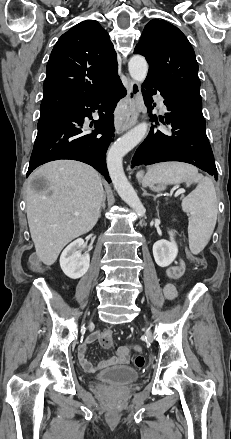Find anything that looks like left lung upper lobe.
Returning a JSON list of instances; mask_svg holds the SVG:
<instances>
[{"mask_svg":"<svg viewBox=\"0 0 231 439\" xmlns=\"http://www.w3.org/2000/svg\"><path fill=\"white\" fill-rule=\"evenodd\" d=\"M135 54L149 63L147 77L202 115L200 80L194 50L186 36L174 25L158 19L144 28Z\"/></svg>","mask_w":231,"mask_h":439,"instance_id":"1","label":"left lung upper lobe"}]
</instances>
